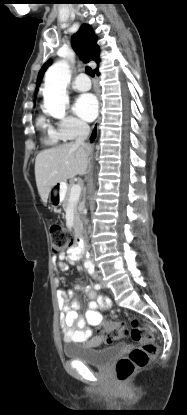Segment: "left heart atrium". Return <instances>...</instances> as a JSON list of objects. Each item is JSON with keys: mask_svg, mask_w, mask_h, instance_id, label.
<instances>
[{"mask_svg": "<svg viewBox=\"0 0 187 415\" xmlns=\"http://www.w3.org/2000/svg\"><path fill=\"white\" fill-rule=\"evenodd\" d=\"M74 112L85 121H92L98 113V102L93 94L79 96L73 106Z\"/></svg>", "mask_w": 187, "mask_h": 415, "instance_id": "39dd6f15", "label": "left heart atrium"}]
</instances>
